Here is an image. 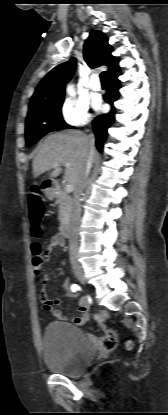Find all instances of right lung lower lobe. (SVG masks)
<instances>
[{
  "label": "right lung lower lobe",
  "instance_id": "98d812e1",
  "mask_svg": "<svg viewBox=\"0 0 168 415\" xmlns=\"http://www.w3.org/2000/svg\"><path fill=\"white\" fill-rule=\"evenodd\" d=\"M119 75L120 70L108 76L110 85L104 99L111 105V111L108 114L99 115L93 120V131L96 136V146L99 152L103 151V144L107 138V129L113 124L115 119V108L113 103L119 97V89L121 87L120 81L118 80Z\"/></svg>",
  "mask_w": 168,
  "mask_h": 415
}]
</instances>
